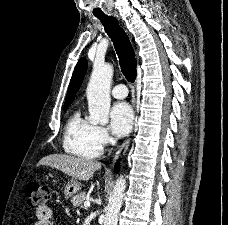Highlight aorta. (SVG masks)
<instances>
[{"label": "aorta", "instance_id": "obj_1", "mask_svg": "<svg viewBox=\"0 0 228 225\" xmlns=\"http://www.w3.org/2000/svg\"><path fill=\"white\" fill-rule=\"evenodd\" d=\"M113 66L109 62H94L92 74L87 86V100L89 108L88 121L90 125H108L110 86L113 76ZM126 189V179L123 175L115 181V187L109 199L104 225H117L118 213L123 205Z\"/></svg>", "mask_w": 228, "mask_h": 225}]
</instances>
